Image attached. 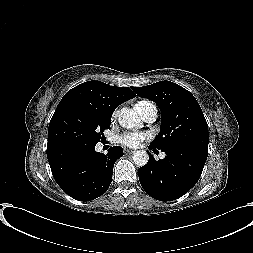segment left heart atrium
<instances>
[{
    "mask_svg": "<svg viewBox=\"0 0 253 253\" xmlns=\"http://www.w3.org/2000/svg\"><path fill=\"white\" fill-rule=\"evenodd\" d=\"M147 138L149 134L145 132H125L119 136L118 140L125 146L137 147Z\"/></svg>",
    "mask_w": 253,
    "mask_h": 253,
    "instance_id": "obj_1",
    "label": "left heart atrium"
}]
</instances>
